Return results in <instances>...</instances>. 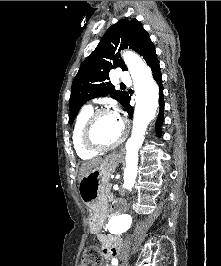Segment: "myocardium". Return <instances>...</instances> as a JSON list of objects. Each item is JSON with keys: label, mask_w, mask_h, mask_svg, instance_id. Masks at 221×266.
Here are the masks:
<instances>
[{"label": "myocardium", "mask_w": 221, "mask_h": 266, "mask_svg": "<svg viewBox=\"0 0 221 266\" xmlns=\"http://www.w3.org/2000/svg\"><path fill=\"white\" fill-rule=\"evenodd\" d=\"M107 113H111V112L105 108L96 109V110L91 112V114L89 115V117L85 121V124L83 126V130H82V142H83L84 146L91 151L102 152V151H107V150L113 149V148L117 147L118 145H120L125 140V138L127 137L128 128L123 123L122 124V132H121L120 136L118 137V139L115 140L114 142L109 143V144H103V143L97 142L94 139L93 132H94V127H95L96 121L101 115L107 114Z\"/></svg>", "instance_id": "1"}]
</instances>
